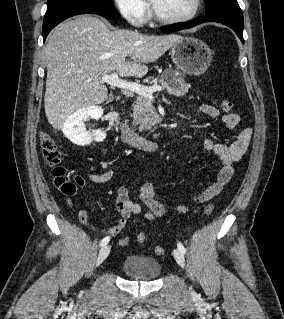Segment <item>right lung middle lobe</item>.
<instances>
[{"mask_svg": "<svg viewBox=\"0 0 284 319\" xmlns=\"http://www.w3.org/2000/svg\"><path fill=\"white\" fill-rule=\"evenodd\" d=\"M114 8L111 0H48L44 21L75 9Z\"/></svg>", "mask_w": 284, "mask_h": 319, "instance_id": "obj_1", "label": "right lung middle lobe"}]
</instances>
